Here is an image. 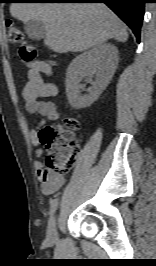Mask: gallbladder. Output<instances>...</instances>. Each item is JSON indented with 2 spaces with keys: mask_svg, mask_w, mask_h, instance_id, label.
Returning a JSON list of instances; mask_svg holds the SVG:
<instances>
[{
  "mask_svg": "<svg viewBox=\"0 0 156 266\" xmlns=\"http://www.w3.org/2000/svg\"><path fill=\"white\" fill-rule=\"evenodd\" d=\"M24 30L33 40H41L46 35L45 25L39 20H30L24 23Z\"/></svg>",
  "mask_w": 156,
  "mask_h": 266,
  "instance_id": "1",
  "label": "gallbladder"
}]
</instances>
